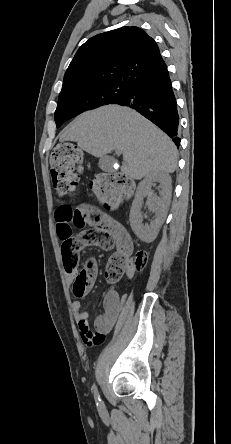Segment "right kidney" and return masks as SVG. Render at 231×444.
<instances>
[{"label":"right kidney","mask_w":231,"mask_h":444,"mask_svg":"<svg viewBox=\"0 0 231 444\" xmlns=\"http://www.w3.org/2000/svg\"><path fill=\"white\" fill-rule=\"evenodd\" d=\"M154 183H159V187L161 188L159 196L154 194L151 190ZM171 194V178L168 173H151L139 183L130 210V225L133 232L140 240L151 242L157 237L168 212ZM146 196L148 197V209L155 213V219L151 221L150 225L143 224V214L141 212L143 199Z\"/></svg>","instance_id":"ca27d5eb"}]
</instances>
